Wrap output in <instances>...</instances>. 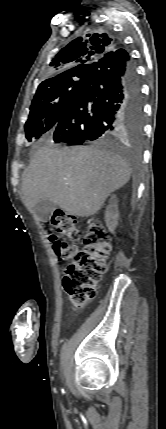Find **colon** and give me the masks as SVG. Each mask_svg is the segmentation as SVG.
Here are the masks:
<instances>
[{
	"label": "colon",
	"instance_id": "obj_1",
	"mask_svg": "<svg viewBox=\"0 0 166 429\" xmlns=\"http://www.w3.org/2000/svg\"><path fill=\"white\" fill-rule=\"evenodd\" d=\"M53 229L72 243L51 235L53 250L59 260H72L63 278V287L71 305L84 307L97 294V285L107 270V258L111 239L104 226L91 221L84 237V247L79 249L74 242L79 238L76 218L61 210L51 218Z\"/></svg>",
	"mask_w": 166,
	"mask_h": 429
}]
</instances>
